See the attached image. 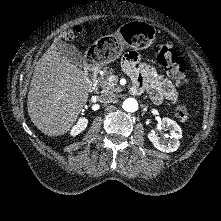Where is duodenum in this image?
I'll return each mask as SVG.
<instances>
[{
    "mask_svg": "<svg viewBox=\"0 0 221 221\" xmlns=\"http://www.w3.org/2000/svg\"><path fill=\"white\" fill-rule=\"evenodd\" d=\"M97 73L98 67L93 63V60L89 59L85 66V75L90 87L96 84Z\"/></svg>",
    "mask_w": 221,
    "mask_h": 221,
    "instance_id": "obj_1",
    "label": "duodenum"
}]
</instances>
